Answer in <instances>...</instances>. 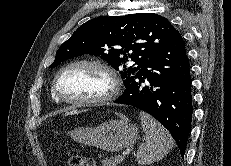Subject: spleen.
I'll use <instances>...</instances> for the list:
<instances>
[{"label": "spleen", "mask_w": 231, "mask_h": 166, "mask_svg": "<svg viewBox=\"0 0 231 166\" xmlns=\"http://www.w3.org/2000/svg\"><path fill=\"white\" fill-rule=\"evenodd\" d=\"M140 119L146 138L140 145L136 158L138 164L144 166L163 159L174 147V140L170 133L146 112H140Z\"/></svg>", "instance_id": "spleen-1"}]
</instances>
